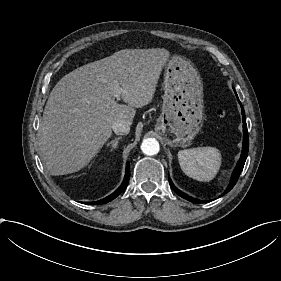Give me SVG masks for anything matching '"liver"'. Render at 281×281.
<instances>
[{
    "instance_id": "obj_1",
    "label": "liver",
    "mask_w": 281,
    "mask_h": 281,
    "mask_svg": "<svg viewBox=\"0 0 281 281\" xmlns=\"http://www.w3.org/2000/svg\"><path fill=\"white\" fill-rule=\"evenodd\" d=\"M169 56L164 48L123 49L62 77L47 100L38 143L48 172L79 171L111 137L114 122L132 124L134 108L152 101ZM117 83L128 105L115 101Z\"/></svg>"
}]
</instances>
